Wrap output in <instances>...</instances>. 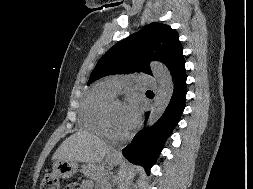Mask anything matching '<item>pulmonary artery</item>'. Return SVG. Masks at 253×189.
Listing matches in <instances>:
<instances>
[{
    "label": "pulmonary artery",
    "instance_id": "1",
    "mask_svg": "<svg viewBox=\"0 0 253 189\" xmlns=\"http://www.w3.org/2000/svg\"><path fill=\"white\" fill-rule=\"evenodd\" d=\"M106 82L108 86L111 88V90L114 91L115 93L118 92L121 89V87L129 84V80L127 78L118 76L111 77ZM137 82L139 83V85L148 88H154L156 87L157 84L155 78L146 74L138 76Z\"/></svg>",
    "mask_w": 253,
    "mask_h": 189
}]
</instances>
